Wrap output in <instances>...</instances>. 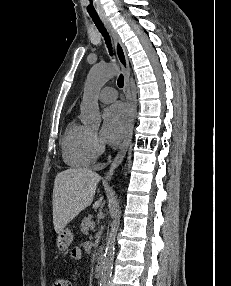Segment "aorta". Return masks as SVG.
<instances>
[{
	"instance_id": "obj_1",
	"label": "aorta",
	"mask_w": 231,
	"mask_h": 286,
	"mask_svg": "<svg viewBox=\"0 0 231 286\" xmlns=\"http://www.w3.org/2000/svg\"><path fill=\"white\" fill-rule=\"evenodd\" d=\"M117 68L112 64L95 65L91 68L85 83L81 103V121L89 127H99L101 116L99 111L97 92L103 85L115 76ZM121 210L117 207L111 229L107 236L105 253L101 265L100 286H109L113 268L115 239L120 226Z\"/></svg>"
}]
</instances>
